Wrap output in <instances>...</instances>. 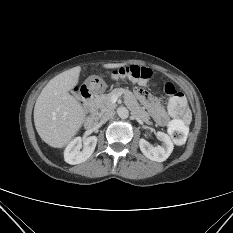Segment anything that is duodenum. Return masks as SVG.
<instances>
[{"mask_svg": "<svg viewBox=\"0 0 233 233\" xmlns=\"http://www.w3.org/2000/svg\"><path fill=\"white\" fill-rule=\"evenodd\" d=\"M80 94L90 111L86 121V125L88 127H93L98 120L94 90L88 86H83L81 88Z\"/></svg>", "mask_w": 233, "mask_h": 233, "instance_id": "obj_1", "label": "duodenum"}]
</instances>
